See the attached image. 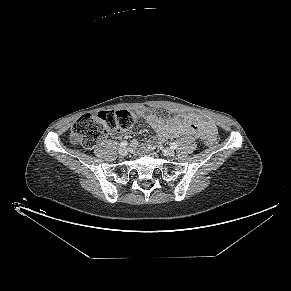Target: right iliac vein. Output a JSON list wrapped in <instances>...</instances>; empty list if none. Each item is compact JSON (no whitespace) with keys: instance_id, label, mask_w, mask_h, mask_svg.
I'll list each match as a JSON object with an SVG mask.
<instances>
[{"instance_id":"1","label":"right iliac vein","mask_w":291,"mask_h":291,"mask_svg":"<svg viewBox=\"0 0 291 291\" xmlns=\"http://www.w3.org/2000/svg\"><path fill=\"white\" fill-rule=\"evenodd\" d=\"M119 154H120V156H126V155L128 154V148H126V147H121V148L119 149Z\"/></svg>"}]
</instances>
